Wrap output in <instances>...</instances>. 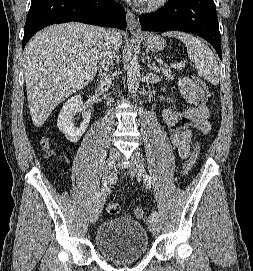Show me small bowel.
Here are the masks:
<instances>
[{"label": "small bowel", "mask_w": 253, "mask_h": 271, "mask_svg": "<svg viewBox=\"0 0 253 271\" xmlns=\"http://www.w3.org/2000/svg\"><path fill=\"white\" fill-rule=\"evenodd\" d=\"M184 99L191 106L179 113L165 109L162 120L170 131V142L182 159H187L192 148L195 131L203 135L210 132V112L205 105L206 97L200 92L194 80L183 78L179 82Z\"/></svg>", "instance_id": "small-bowel-1"}]
</instances>
